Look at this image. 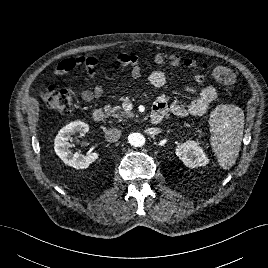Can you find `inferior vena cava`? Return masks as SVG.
Segmentation results:
<instances>
[{
	"mask_svg": "<svg viewBox=\"0 0 268 268\" xmlns=\"http://www.w3.org/2000/svg\"><path fill=\"white\" fill-rule=\"evenodd\" d=\"M122 135L121 130L117 128H110L105 132V138L108 142H116L120 139Z\"/></svg>",
	"mask_w": 268,
	"mask_h": 268,
	"instance_id": "inferior-vena-cava-1",
	"label": "inferior vena cava"
}]
</instances>
